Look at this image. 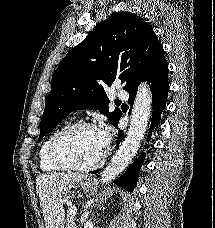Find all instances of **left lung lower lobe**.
Returning <instances> with one entry per match:
<instances>
[{
  "mask_svg": "<svg viewBox=\"0 0 215 228\" xmlns=\"http://www.w3.org/2000/svg\"><path fill=\"white\" fill-rule=\"evenodd\" d=\"M140 81H147V83L150 85V90L152 92L153 113L151 119V127L149 131V135H151L152 129L156 125H158L161 113L165 109L167 94L169 90L168 65L165 61L163 48L157 53L155 59L153 60L145 75L128 91L130 94L128 102L130 104L134 102V97L136 96L137 88ZM123 137V133L119 131L116 141V147L122 141ZM148 139H150L149 136ZM144 157V154H142V156L139 157V159L136 160L120 178L115 180V183L119 186L124 187L129 192H132L136 185L139 169L143 163ZM97 172L98 170L92 171L90 173L94 174Z\"/></svg>",
  "mask_w": 215,
  "mask_h": 228,
  "instance_id": "obj_1",
  "label": "left lung lower lobe"
}]
</instances>
